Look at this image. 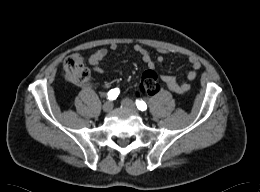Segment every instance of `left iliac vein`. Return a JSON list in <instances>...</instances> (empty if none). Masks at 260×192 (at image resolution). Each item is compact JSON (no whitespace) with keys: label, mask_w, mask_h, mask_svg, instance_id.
Wrapping results in <instances>:
<instances>
[{"label":"left iliac vein","mask_w":260,"mask_h":192,"mask_svg":"<svg viewBox=\"0 0 260 192\" xmlns=\"http://www.w3.org/2000/svg\"><path fill=\"white\" fill-rule=\"evenodd\" d=\"M123 102H124V104H125L126 106H128V107H130V108L133 109V104H132V102H131L130 100L125 99Z\"/></svg>","instance_id":"left-iliac-vein-1"}]
</instances>
